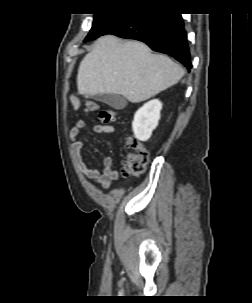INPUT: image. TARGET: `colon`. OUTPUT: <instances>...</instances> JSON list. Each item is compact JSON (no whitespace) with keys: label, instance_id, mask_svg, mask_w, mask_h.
<instances>
[{"label":"colon","instance_id":"obj_1","mask_svg":"<svg viewBox=\"0 0 252 303\" xmlns=\"http://www.w3.org/2000/svg\"><path fill=\"white\" fill-rule=\"evenodd\" d=\"M71 105L75 110L80 109L81 104L76 96L71 97ZM86 110H95L98 105L93 101H88ZM115 112L113 110H100L99 120L104 123H110L114 120ZM126 160L123 163V172L126 175H137L141 173L148 161L146 148L137 140L128 137L125 142Z\"/></svg>","mask_w":252,"mask_h":303}]
</instances>
